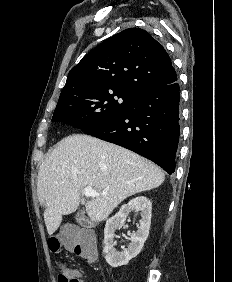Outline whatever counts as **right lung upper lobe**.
Masks as SVG:
<instances>
[{
	"instance_id": "cb5924a9",
	"label": "right lung upper lobe",
	"mask_w": 232,
	"mask_h": 282,
	"mask_svg": "<svg viewBox=\"0 0 232 282\" xmlns=\"http://www.w3.org/2000/svg\"><path fill=\"white\" fill-rule=\"evenodd\" d=\"M175 80L176 72L163 46L147 31L129 28L106 39L70 70L59 101L115 90L139 96Z\"/></svg>"
}]
</instances>
